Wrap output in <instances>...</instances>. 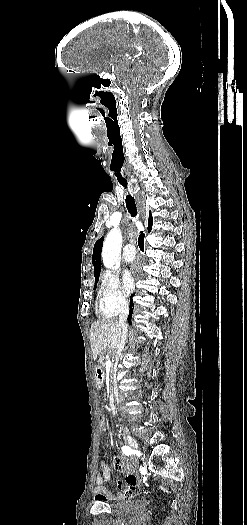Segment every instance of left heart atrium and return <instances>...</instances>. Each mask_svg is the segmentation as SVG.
<instances>
[{"mask_svg": "<svg viewBox=\"0 0 247 525\" xmlns=\"http://www.w3.org/2000/svg\"><path fill=\"white\" fill-rule=\"evenodd\" d=\"M135 261H144L142 256L137 255L129 268L124 272V283L127 290H130L135 282L140 281L143 278L144 272H135L134 263Z\"/></svg>", "mask_w": 247, "mask_h": 525, "instance_id": "obj_1", "label": "left heart atrium"}]
</instances>
